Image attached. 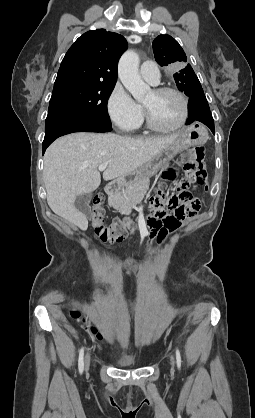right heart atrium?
<instances>
[{
	"instance_id": "right-heart-atrium-1",
	"label": "right heart atrium",
	"mask_w": 255,
	"mask_h": 418,
	"mask_svg": "<svg viewBox=\"0 0 255 418\" xmlns=\"http://www.w3.org/2000/svg\"><path fill=\"white\" fill-rule=\"evenodd\" d=\"M106 110L111 122L123 132L135 130L143 119L142 107L120 84L112 89L107 99Z\"/></svg>"
}]
</instances>
